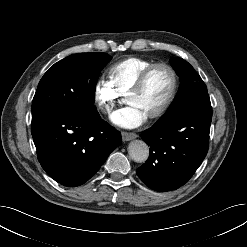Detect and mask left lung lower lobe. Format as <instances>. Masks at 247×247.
<instances>
[{
    "label": "left lung lower lobe",
    "instance_id": "obj_1",
    "mask_svg": "<svg viewBox=\"0 0 247 247\" xmlns=\"http://www.w3.org/2000/svg\"><path fill=\"white\" fill-rule=\"evenodd\" d=\"M211 120L209 95L202 92L143 131L141 138L150 146V154L137 169L139 178L160 192L184 185L207 154Z\"/></svg>",
    "mask_w": 247,
    "mask_h": 247
}]
</instances>
